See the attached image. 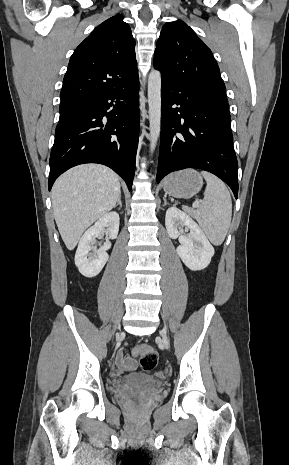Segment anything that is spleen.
<instances>
[{
    "label": "spleen",
    "mask_w": 289,
    "mask_h": 465,
    "mask_svg": "<svg viewBox=\"0 0 289 465\" xmlns=\"http://www.w3.org/2000/svg\"><path fill=\"white\" fill-rule=\"evenodd\" d=\"M201 174L207 182L204 200L192 214L211 243L219 246L230 227L232 200L226 185L218 177L205 171Z\"/></svg>",
    "instance_id": "3e777b00"
}]
</instances>
